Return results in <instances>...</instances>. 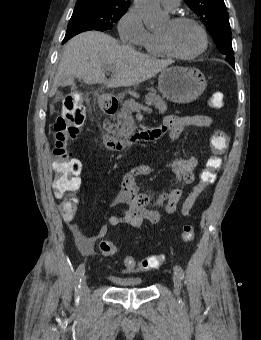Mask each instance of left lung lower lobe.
Segmentation results:
<instances>
[{"label":"left lung lower lobe","mask_w":261,"mask_h":340,"mask_svg":"<svg viewBox=\"0 0 261 340\" xmlns=\"http://www.w3.org/2000/svg\"><path fill=\"white\" fill-rule=\"evenodd\" d=\"M229 64H230L232 67H234V62H229Z\"/></svg>","instance_id":"left-lung-lower-lobe-1"}]
</instances>
